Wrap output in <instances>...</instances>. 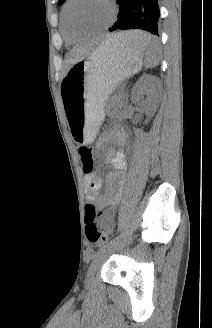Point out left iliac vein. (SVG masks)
I'll return each instance as SVG.
<instances>
[{"mask_svg":"<svg viewBox=\"0 0 212 328\" xmlns=\"http://www.w3.org/2000/svg\"><path fill=\"white\" fill-rule=\"evenodd\" d=\"M121 243H115L114 245L106 248L105 250L99 252L96 257L93 259L91 265L89 266L87 275H86V283L90 284L95 276V273L98 267L104 262V260L108 257L109 254L119 249Z\"/></svg>","mask_w":212,"mask_h":328,"instance_id":"1","label":"left iliac vein"}]
</instances>
